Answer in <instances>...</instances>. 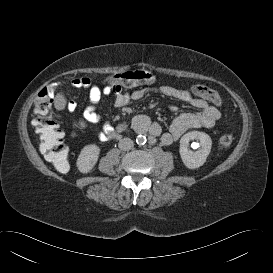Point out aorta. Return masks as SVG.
Instances as JSON below:
<instances>
[{
	"label": "aorta",
	"instance_id": "1",
	"mask_svg": "<svg viewBox=\"0 0 273 273\" xmlns=\"http://www.w3.org/2000/svg\"><path fill=\"white\" fill-rule=\"evenodd\" d=\"M146 141H147V139L143 135H138L137 138H136V142L139 145H144L146 143Z\"/></svg>",
	"mask_w": 273,
	"mask_h": 273
}]
</instances>
